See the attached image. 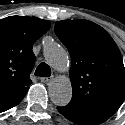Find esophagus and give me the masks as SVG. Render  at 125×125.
Returning <instances> with one entry per match:
<instances>
[{
    "instance_id": "esophagus-1",
    "label": "esophagus",
    "mask_w": 125,
    "mask_h": 125,
    "mask_svg": "<svg viewBox=\"0 0 125 125\" xmlns=\"http://www.w3.org/2000/svg\"><path fill=\"white\" fill-rule=\"evenodd\" d=\"M53 80V77H41L40 81L42 83H50Z\"/></svg>"
}]
</instances>
